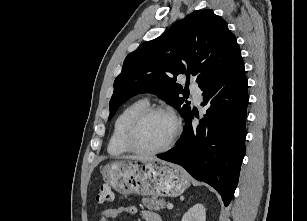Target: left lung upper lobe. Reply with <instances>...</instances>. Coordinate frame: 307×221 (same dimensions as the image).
Returning a JSON list of instances; mask_svg holds the SVG:
<instances>
[{
  "mask_svg": "<svg viewBox=\"0 0 307 221\" xmlns=\"http://www.w3.org/2000/svg\"><path fill=\"white\" fill-rule=\"evenodd\" d=\"M239 52L236 38L222 17L210 9L192 12L162 36L127 55L114 82L109 119L133 95L152 93L172 104L186 120L191 114L190 102L180 95L185 96L190 74L204 90ZM181 74L187 76L185 89L175 83Z\"/></svg>",
  "mask_w": 307,
  "mask_h": 221,
  "instance_id": "5c2ea615",
  "label": "left lung upper lobe"
}]
</instances>
